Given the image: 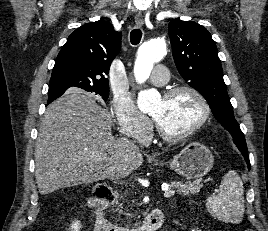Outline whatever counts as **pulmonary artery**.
<instances>
[{
	"label": "pulmonary artery",
	"instance_id": "pulmonary-artery-1",
	"mask_svg": "<svg viewBox=\"0 0 268 231\" xmlns=\"http://www.w3.org/2000/svg\"><path fill=\"white\" fill-rule=\"evenodd\" d=\"M168 80L167 68L164 65L157 66L155 73L151 77V81L157 85H164Z\"/></svg>",
	"mask_w": 268,
	"mask_h": 231
}]
</instances>
